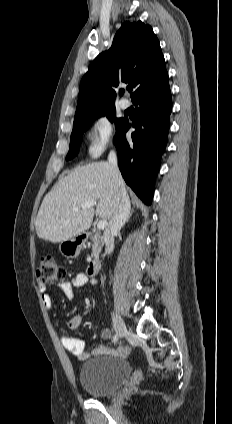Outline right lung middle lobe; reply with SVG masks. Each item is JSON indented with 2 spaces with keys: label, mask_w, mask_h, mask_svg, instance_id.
Segmentation results:
<instances>
[{
  "label": "right lung middle lobe",
  "mask_w": 232,
  "mask_h": 424,
  "mask_svg": "<svg viewBox=\"0 0 232 424\" xmlns=\"http://www.w3.org/2000/svg\"><path fill=\"white\" fill-rule=\"evenodd\" d=\"M101 116H107V118L111 122L115 121V126L117 129L121 127V125L123 124L125 120L124 118L116 119L115 106L104 108V109L95 111L89 115L75 119L73 123L71 139H70V148L66 156V160H70L78 154L82 134L96 118Z\"/></svg>",
  "instance_id": "obj_1"
}]
</instances>
